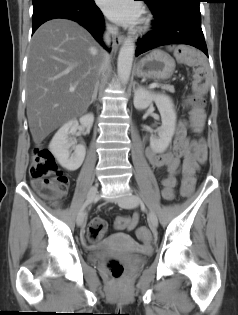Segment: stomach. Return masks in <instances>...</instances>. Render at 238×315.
<instances>
[{
    "label": "stomach",
    "mask_w": 238,
    "mask_h": 315,
    "mask_svg": "<svg viewBox=\"0 0 238 315\" xmlns=\"http://www.w3.org/2000/svg\"><path fill=\"white\" fill-rule=\"evenodd\" d=\"M175 70L174 59L165 51L156 49L143 57L136 65L138 77L168 79Z\"/></svg>",
    "instance_id": "stomach-1"
}]
</instances>
